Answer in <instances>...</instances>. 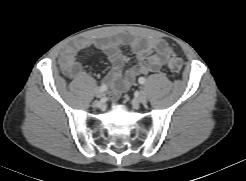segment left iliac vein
<instances>
[{
    "mask_svg": "<svg viewBox=\"0 0 246 181\" xmlns=\"http://www.w3.org/2000/svg\"><path fill=\"white\" fill-rule=\"evenodd\" d=\"M137 101L141 104H145L147 102V95L144 91H141L137 97Z\"/></svg>",
    "mask_w": 246,
    "mask_h": 181,
    "instance_id": "4c4485c4",
    "label": "left iliac vein"
}]
</instances>
